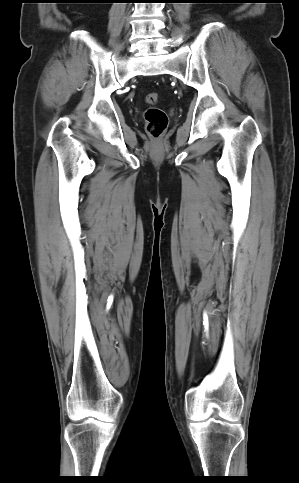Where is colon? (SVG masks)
I'll return each instance as SVG.
<instances>
[{
	"instance_id": "obj_1",
	"label": "colon",
	"mask_w": 299,
	"mask_h": 483,
	"mask_svg": "<svg viewBox=\"0 0 299 483\" xmlns=\"http://www.w3.org/2000/svg\"><path fill=\"white\" fill-rule=\"evenodd\" d=\"M146 102L150 107L145 112L146 131L152 138H160L166 132L168 126V117L164 110L155 107L159 101V95L156 92L146 94Z\"/></svg>"
}]
</instances>
